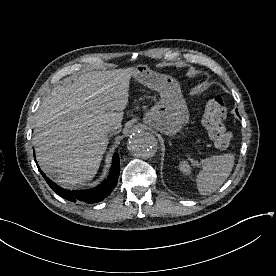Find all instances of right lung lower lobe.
Masks as SVG:
<instances>
[{
    "instance_id": "obj_1",
    "label": "right lung lower lobe",
    "mask_w": 276,
    "mask_h": 276,
    "mask_svg": "<svg viewBox=\"0 0 276 276\" xmlns=\"http://www.w3.org/2000/svg\"><path fill=\"white\" fill-rule=\"evenodd\" d=\"M40 172L48 185L62 198L67 199L71 202H76L79 200L86 203H96L107 197L111 193L112 189L115 188L117 184V178L119 177L120 163L118 155L115 154L108 179L93 189L83 191L65 190L52 182L41 170Z\"/></svg>"
}]
</instances>
